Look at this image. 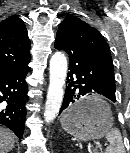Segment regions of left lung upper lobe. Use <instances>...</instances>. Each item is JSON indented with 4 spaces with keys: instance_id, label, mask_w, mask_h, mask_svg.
I'll return each instance as SVG.
<instances>
[{
    "instance_id": "1",
    "label": "left lung upper lobe",
    "mask_w": 130,
    "mask_h": 153,
    "mask_svg": "<svg viewBox=\"0 0 130 153\" xmlns=\"http://www.w3.org/2000/svg\"><path fill=\"white\" fill-rule=\"evenodd\" d=\"M57 35L91 52L114 74L109 46L98 30L75 16H69L59 25Z\"/></svg>"
}]
</instances>
